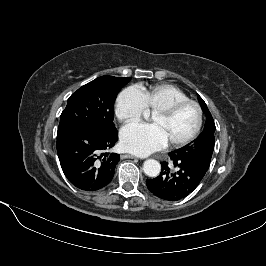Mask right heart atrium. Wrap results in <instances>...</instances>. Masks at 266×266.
I'll return each mask as SVG.
<instances>
[{
    "mask_svg": "<svg viewBox=\"0 0 266 266\" xmlns=\"http://www.w3.org/2000/svg\"><path fill=\"white\" fill-rule=\"evenodd\" d=\"M146 111L144 97L136 86L122 90L116 99L115 112L122 122L138 121Z\"/></svg>",
    "mask_w": 266,
    "mask_h": 266,
    "instance_id": "obj_1",
    "label": "right heart atrium"
}]
</instances>
